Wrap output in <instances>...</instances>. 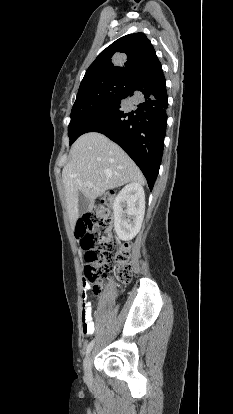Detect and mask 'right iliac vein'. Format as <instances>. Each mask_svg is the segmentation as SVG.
Listing matches in <instances>:
<instances>
[{
    "label": "right iliac vein",
    "mask_w": 233,
    "mask_h": 414,
    "mask_svg": "<svg viewBox=\"0 0 233 414\" xmlns=\"http://www.w3.org/2000/svg\"><path fill=\"white\" fill-rule=\"evenodd\" d=\"M84 372L86 378H89L91 376V356L89 355L84 363Z\"/></svg>",
    "instance_id": "right-iliac-vein-1"
}]
</instances>
